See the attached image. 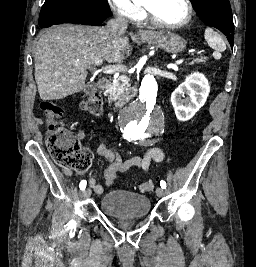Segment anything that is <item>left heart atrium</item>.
I'll return each instance as SVG.
<instances>
[{"label": "left heart atrium", "instance_id": "left-heart-atrium-1", "mask_svg": "<svg viewBox=\"0 0 256 267\" xmlns=\"http://www.w3.org/2000/svg\"><path fill=\"white\" fill-rule=\"evenodd\" d=\"M165 1L166 0H150L152 15ZM152 24H153V28L160 27V26H158V24L155 23L154 20L152 21Z\"/></svg>", "mask_w": 256, "mask_h": 267}]
</instances>
